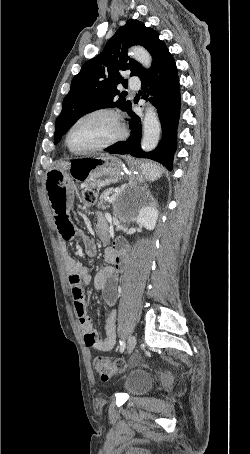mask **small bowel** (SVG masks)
<instances>
[{
	"label": "small bowel",
	"mask_w": 250,
	"mask_h": 454,
	"mask_svg": "<svg viewBox=\"0 0 250 454\" xmlns=\"http://www.w3.org/2000/svg\"><path fill=\"white\" fill-rule=\"evenodd\" d=\"M45 189L51 207L57 230L64 240H71L76 235L75 227L69 216V209L74 202L77 192V183L74 178L62 172L54 171L48 174ZM96 233L103 242H107L108 233L105 219L100 216L96 225ZM84 250L87 255L94 256L97 252L96 244L89 238L83 237ZM126 245L117 240L105 250L107 266L100 270L94 277V286L102 292L103 298L109 307L117 301V282L119 272L125 263ZM65 267L68 273V282L74 300L75 312L80 328L84 335L85 343L101 352L110 351L116 340V312L111 311L105 324V337L99 338L92 327V322L87 314L84 295L85 287L91 282L88 268L75 261L65 251L63 252Z\"/></svg>",
	"instance_id": "small-bowel-1"
}]
</instances>
